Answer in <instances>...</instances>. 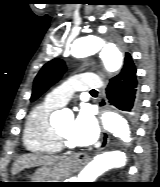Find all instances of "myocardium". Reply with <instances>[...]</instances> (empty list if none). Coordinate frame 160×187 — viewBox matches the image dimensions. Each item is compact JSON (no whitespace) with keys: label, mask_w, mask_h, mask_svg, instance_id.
<instances>
[{"label":"myocardium","mask_w":160,"mask_h":187,"mask_svg":"<svg viewBox=\"0 0 160 187\" xmlns=\"http://www.w3.org/2000/svg\"><path fill=\"white\" fill-rule=\"evenodd\" d=\"M55 134L59 140L62 150L74 151L76 149L74 144L69 141V138L63 135L57 128H55Z\"/></svg>","instance_id":"1"}]
</instances>
